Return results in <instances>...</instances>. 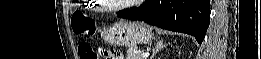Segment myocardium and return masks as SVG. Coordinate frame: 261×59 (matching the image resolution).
Listing matches in <instances>:
<instances>
[{
    "instance_id": "myocardium-1",
    "label": "myocardium",
    "mask_w": 261,
    "mask_h": 59,
    "mask_svg": "<svg viewBox=\"0 0 261 59\" xmlns=\"http://www.w3.org/2000/svg\"><path fill=\"white\" fill-rule=\"evenodd\" d=\"M96 2L99 4L102 10L108 12L120 11L130 6L129 4L109 5L105 1H96Z\"/></svg>"
}]
</instances>
